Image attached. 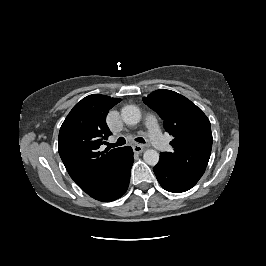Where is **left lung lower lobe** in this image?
<instances>
[{
	"instance_id": "obj_1",
	"label": "left lung lower lobe",
	"mask_w": 266,
	"mask_h": 266,
	"mask_svg": "<svg viewBox=\"0 0 266 266\" xmlns=\"http://www.w3.org/2000/svg\"><path fill=\"white\" fill-rule=\"evenodd\" d=\"M153 171L160 185L167 191L173 193L185 192L191 189L202 175L198 174H182L179 173L159 160L154 166Z\"/></svg>"
}]
</instances>
